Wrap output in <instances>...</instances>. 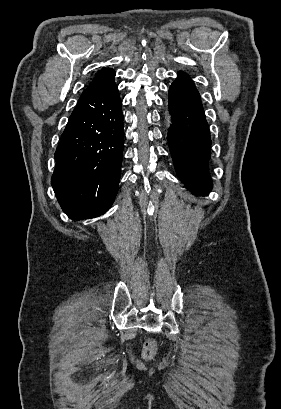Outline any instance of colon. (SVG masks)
<instances>
[{
	"mask_svg": "<svg viewBox=\"0 0 281 409\" xmlns=\"http://www.w3.org/2000/svg\"><path fill=\"white\" fill-rule=\"evenodd\" d=\"M144 355H145V357H147V358H150V357L153 355V349H152V344H151V343L149 344V347H147V348L144 350Z\"/></svg>",
	"mask_w": 281,
	"mask_h": 409,
	"instance_id": "5ec220e1",
	"label": "colon"
}]
</instances>
